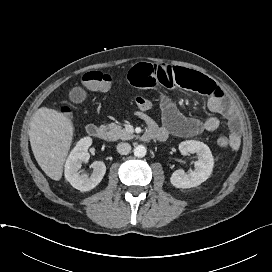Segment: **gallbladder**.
I'll return each instance as SVG.
<instances>
[{
	"label": "gallbladder",
	"instance_id": "obj_1",
	"mask_svg": "<svg viewBox=\"0 0 272 272\" xmlns=\"http://www.w3.org/2000/svg\"><path fill=\"white\" fill-rule=\"evenodd\" d=\"M69 98L75 103L82 102L86 98V92L80 87L73 88L69 93Z\"/></svg>",
	"mask_w": 272,
	"mask_h": 272
}]
</instances>
